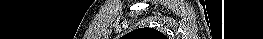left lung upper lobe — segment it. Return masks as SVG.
Wrapping results in <instances>:
<instances>
[{"instance_id": "1", "label": "left lung upper lobe", "mask_w": 263, "mask_h": 39, "mask_svg": "<svg viewBox=\"0 0 263 39\" xmlns=\"http://www.w3.org/2000/svg\"><path fill=\"white\" fill-rule=\"evenodd\" d=\"M124 39H167L166 36L153 28H140L123 36Z\"/></svg>"}]
</instances>
